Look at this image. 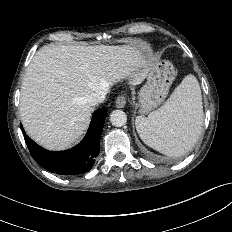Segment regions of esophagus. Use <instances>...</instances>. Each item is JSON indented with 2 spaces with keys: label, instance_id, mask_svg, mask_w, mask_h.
<instances>
[{
  "label": "esophagus",
  "instance_id": "esophagus-1",
  "mask_svg": "<svg viewBox=\"0 0 232 232\" xmlns=\"http://www.w3.org/2000/svg\"><path fill=\"white\" fill-rule=\"evenodd\" d=\"M126 104V97L124 95H119L116 98V107L117 108H123Z\"/></svg>",
  "mask_w": 232,
  "mask_h": 232
}]
</instances>
